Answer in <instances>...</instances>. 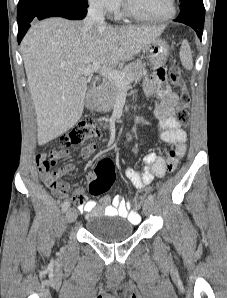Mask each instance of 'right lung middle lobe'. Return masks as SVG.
I'll list each match as a JSON object with an SVG mask.
<instances>
[{"mask_svg":"<svg viewBox=\"0 0 227 298\" xmlns=\"http://www.w3.org/2000/svg\"><path fill=\"white\" fill-rule=\"evenodd\" d=\"M43 1H47V0H19L17 14ZM62 1H67L76 5L88 7L87 0H62Z\"/></svg>","mask_w":227,"mask_h":298,"instance_id":"right-lung-middle-lobe-1","label":"right lung middle lobe"}]
</instances>
